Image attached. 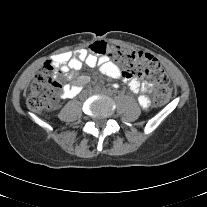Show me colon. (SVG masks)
Returning <instances> with one entry per match:
<instances>
[{
  "instance_id": "obj_1",
  "label": "colon",
  "mask_w": 207,
  "mask_h": 207,
  "mask_svg": "<svg viewBox=\"0 0 207 207\" xmlns=\"http://www.w3.org/2000/svg\"><path fill=\"white\" fill-rule=\"evenodd\" d=\"M92 50L118 63L125 78L140 76L144 78L148 87L158 86L154 97L156 106H161L169 100V76L153 56L104 42L95 44ZM56 70V64L48 60L36 75L27 97V106L31 111L41 113L50 110L56 104L57 89L60 87Z\"/></svg>"
}]
</instances>
